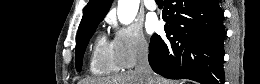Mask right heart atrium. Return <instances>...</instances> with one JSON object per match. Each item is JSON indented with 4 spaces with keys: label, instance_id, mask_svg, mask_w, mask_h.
Segmentation results:
<instances>
[{
    "label": "right heart atrium",
    "instance_id": "1",
    "mask_svg": "<svg viewBox=\"0 0 260 84\" xmlns=\"http://www.w3.org/2000/svg\"><path fill=\"white\" fill-rule=\"evenodd\" d=\"M114 35L111 41L113 56L120 68H130L147 57L150 46L138 24L112 23Z\"/></svg>",
    "mask_w": 260,
    "mask_h": 84
}]
</instances>
